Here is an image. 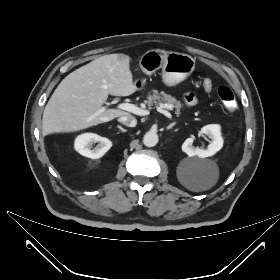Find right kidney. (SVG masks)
Returning <instances> with one entry per match:
<instances>
[{
  "mask_svg": "<svg viewBox=\"0 0 280 280\" xmlns=\"http://www.w3.org/2000/svg\"><path fill=\"white\" fill-rule=\"evenodd\" d=\"M98 143L92 148L93 143ZM112 146V142L94 133H84L75 139L74 148L76 151L88 158L98 159L102 157Z\"/></svg>",
  "mask_w": 280,
  "mask_h": 280,
  "instance_id": "1",
  "label": "right kidney"
}]
</instances>
